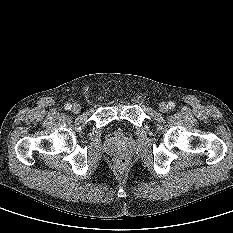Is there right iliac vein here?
Returning a JSON list of instances; mask_svg holds the SVG:
<instances>
[{
	"label": "right iliac vein",
	"instance_id": "1",
	"mask_svg": "<svg viewBox=\"0 0 233 233\" xmlns=\"http://www.w3.org/2000/svg\"><path fill=\"white\" fill-rule=\"evenodd\" d=\"M71 110H72L73 113H76V114H77V113L80 112L81 106H80L79 104H74V105L72 106Z\"/></svg>",
	"mask_w": 233,
	"mask_h": 233
}]
</instances>
